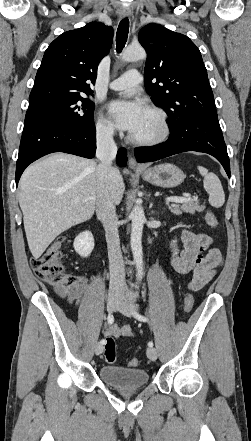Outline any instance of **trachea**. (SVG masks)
I'll use <instances>...</instances> for the list:
<instances>
[{"mask_svg": "<svg viewBox=\"0 0 251 441\" xmlns=\"http://www.w3.org/2000/svg\"><path fill=\"white\" fill-rule=\"evenodd\" d=\"M129 33V20L128 18H124L120 21L117 33H116V50L117 52H121L124 48Z\"/></svg>", "mask_w": 251, "mask_h": 441, "instance_id": "trachea-1", "label": "trachea"}]
</instances>
